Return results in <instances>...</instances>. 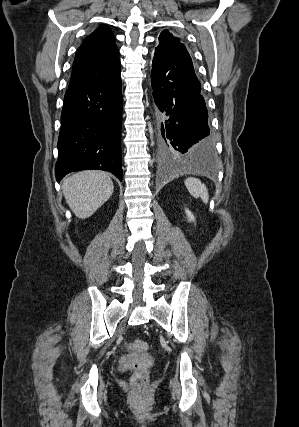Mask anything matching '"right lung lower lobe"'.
<instances>
[{"label":"right lung lower lobe","mask_w":299,"mask_h":427,"mask_svg":"<svg viewBox=\"0 0 299 427\" xmlns=\"http://www.w3.org/2000/svg\"><path fill=\"white\" fill-rule=\"evenodd\" d=\"M121 121L120 70L105 80L69 88L61 115L57 181L86 169L110 171L122 180Z\"/></svg>","instance_id":"98d812e1"}]
</instances>
